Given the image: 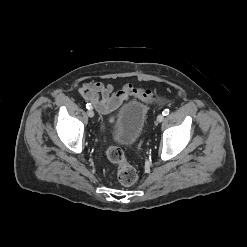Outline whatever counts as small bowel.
Masks as SVG:
<instances>
[{
    "mask_svg": "<svg viewBox=\"0 0 247 247\" xmlns=\"http://www.w3.org/2000/svg\"><path fill=\"white\" fill-rule=\"evenodd\" d=\"M79 94L83 100L91 103L100 114L110 117L130 97L146 103L164 102V99L155 91L135 87L130 83L115 91L111 84L87 82L79 89Z\"/></svg>",
    "mask_w": 247,
    "mask_h": 247,
    "instance_id": "small-bowel-1",
    "label": "small bowel"
}]
</instances>
